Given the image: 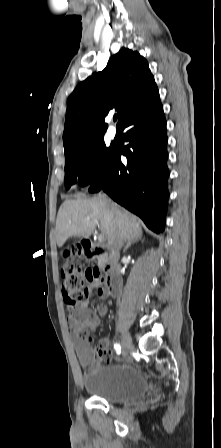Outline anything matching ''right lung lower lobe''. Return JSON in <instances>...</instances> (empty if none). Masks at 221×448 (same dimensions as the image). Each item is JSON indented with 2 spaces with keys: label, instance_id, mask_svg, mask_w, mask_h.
<instances>
[{
  "label": "right lung lower lobe",
  "instance_id": "obj_1",
  "mask_svg": "<svg viewBox=\"0 0 221 448\" xmlns=\"http://www.w3.org/2000/svg\"><path fill=\"white\" fill-rule=\"evenodd\" d=\"M125 148L114 146L102 175L89 192L104 190L114 201L138 215L152 231L164 230L167 208V134L159 92L125 116ZM127 157V163L120 160Z\"/></svg>",
  "mask_w": 221,
  "mask_h": 448
}]
</instances>
